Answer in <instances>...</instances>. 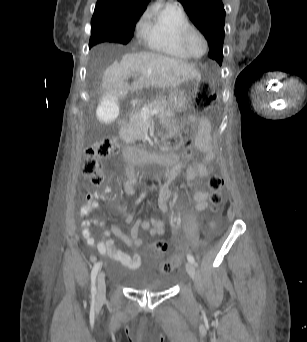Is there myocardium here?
<instances>
[{"label": "myocardium", "instance_id": "obj_1", "mask_svg": "<svg viewBox=\"0 0 307 342\" xmlns=\"http://www.w3.org/2000/svg\"><path fill=\"white\" fill-rule=\"evenodd\" d=\"M195 31H198L200 33L202 40L204 42V52L199 57L193 56L187 47L188 37L190 36L191 33L195 32ZM180 46H181L182 50L184 51V53L191 60L198 61V60L203 59L207 55L208 50H209L208 38H207V35H206L203 27L194 23V22H190L188 25H186L180 34Z\"/></svg>", "mask_w": 307, "mask_h": 342}]
</instances>
